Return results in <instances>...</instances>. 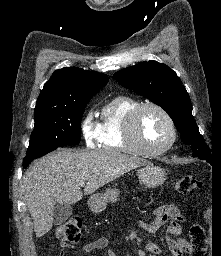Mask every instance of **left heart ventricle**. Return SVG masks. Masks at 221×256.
<instances>
[{
	"mask_svg": "<svg viewBox=\"0 0 221 256\" xmlns=\"http://www.w3.org/2000/svg\"><path fill=\"white\" fill-rule=\"evenodd\" d=\"M140 136L150 148L164 146L170 138V128L165 117L154 108H146L139 119Z\"/></svg>",
	"mask_w": 221,
	"mask_h": 256,
	"instance_id": "obj_1",
	"label": "left heart ventricle"
}]
</instances>
